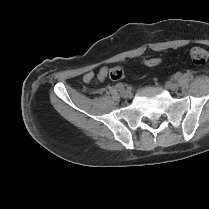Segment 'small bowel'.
Here are the masks:
<instances>
[{
  "label": "small bowel",
  "instance_id": "obj_1",
  "mask_svg": "<svg viewBox=\"0 0 209 209\" xmlns=\"http://www.w3.org/2000/svg\"><path fill=\"white\" fill-rule=\"evenodd\" d=\"M108 75V68L107 67H102L98 74H97V79L99 81H103L106 79ZM94 79V73L93 72H87L84 76H83V80L85 82H91Z\"/></svg>",
  "mask_w": 209,
  "mask_h": 209
}]
</instances>
